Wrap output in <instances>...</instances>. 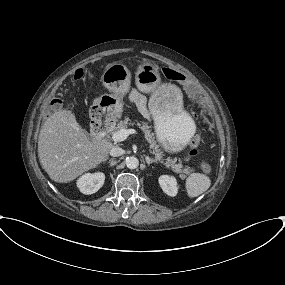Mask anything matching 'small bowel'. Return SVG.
<instances>
[{"mask_svg":"<svg viewBox=\"0 0 285 285\" xmlns=\"http://www.w3.org/2000/svg\"><path fill=\"white\" fill-rule=\"evenodd\" d=\"M131 100L136 103L137 105H140L142 103V97L136 92L131 93Z\"/></svg>","mask_w":285,"mask_h":285,"instance_id":"obj_1","label":"small bowel"}]
</instances>
